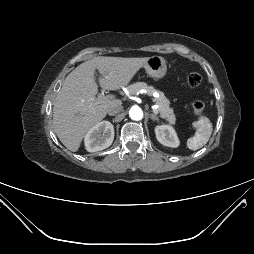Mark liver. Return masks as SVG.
I'll return each mask as SVG.
<instances>
[{
  "mask_svg": "<svg viewBox=\"0 0 254 254\" xmlns=\"http://www.w3.org/2000/svg\"><path fill=\"white\" fill-rule=\"evenodd\" d=\"M148 58L98 56L83 62L67 75L53 106L54 131L67 149L77 151L91 127L104 119L112 105L122 103L114 99L96 104L95 70L100 73L103 89L118 90L132 80Z\"/></svg>",
  "mask_w": 254,
  "mask_h": 254,
  "instance_id": "1",
  "label": "liver"
}]
</instances>
